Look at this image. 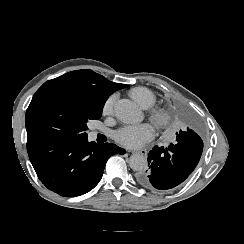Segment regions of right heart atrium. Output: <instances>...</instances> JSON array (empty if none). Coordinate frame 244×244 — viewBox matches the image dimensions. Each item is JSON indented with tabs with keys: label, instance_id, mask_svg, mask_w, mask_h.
<instances>
[{
	"label": "right heart atrium",
	"instance_id": "1",
	"mask_svg": "<svg viewBox=\"0 0 244 244\" xmlns=\"http://www.w3.org/2000/svg\"><path fill=\"white\" fill-rule=\"evenodd\" d=\"M116 101H117L116 94H112L106 99L104 106H103V115L104 116H109L113 113L114 105H115Z\"/></svg>",
	"mask_w": 244,
	"mask_h": 244
}]
</instances>
